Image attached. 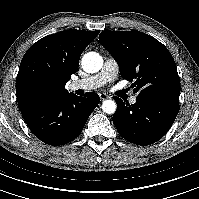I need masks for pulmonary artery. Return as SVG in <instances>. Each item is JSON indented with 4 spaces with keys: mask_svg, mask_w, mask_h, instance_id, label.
<instances>
[{
    "mask_svg": "<svg viewBox=\"0 0 199 199\" xmlns=\"http://www.w3.org/2000/svg\"><path fill=\"white\" fill-rule=\"evenodd\" d=\"M117 75H118V65L116 61L111 57H106L104 59L103 67L98 73L84 79L72 81L69 85V88L71 91L94 90L99 87H102L108 82L115 80ZM129 101L131 104H135L137 102L136 96H131Z\"/></svg>",
    "mask_w": 199,
    "mask_h": 199,
    "instance_id": "1",
    "label": "pulmonary artery"
}]
</instances>
